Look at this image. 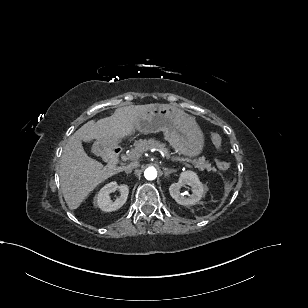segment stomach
I'll list each match as a JSON object with an SVG mask.
<instances>
[{"label": "stomach", "mask_w": 308, "mask_h": 308, "mask_svg": "<svg viewBox=\"0 0 308 308\" xmlns=\"http://www.w3.org/2000/svg\"><path fill=\"white\" fill-rule=\"evenodd\" d=\"M135 130L144 134L162 131L170 145L188 157L198 156L204 147V135L195 119L170 104H158L138 116ZM115 141L113 139L111 144ZM94 145L100 151L109 146L105 140H98Z\"/></svg>", "instance_id": "obj_1"}]
</instances>
